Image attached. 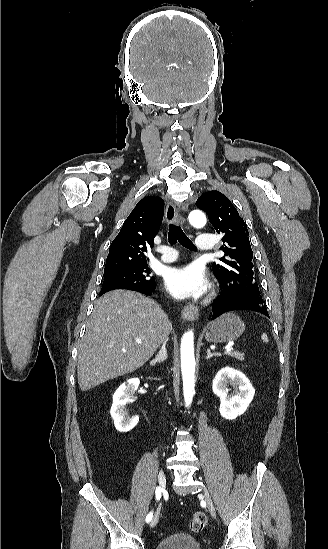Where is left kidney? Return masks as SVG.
Masks as SVG:
<instances>
[{
	"instance_id": "5707ae66",
	"label": "left kidney",
	"mask_w": 328,
	"mask_h": 549,
	"mask_svg": "<svg viewBox=\"0 0 328 549\" xmlns=\"http://www.w3.org/2000/svg\"><path fill=\"white\" fill-rule=\"evenodd\" d=\"M228 385H234L233 395H228L231 391ZM212 391L220 399L219 413L224 419H236L243 415L255 395L249 379L231 367H223L218 371L213 379Z\"/></svg>"
}]
</instances>
